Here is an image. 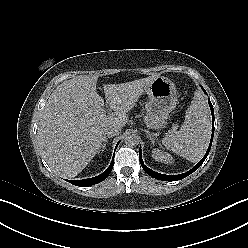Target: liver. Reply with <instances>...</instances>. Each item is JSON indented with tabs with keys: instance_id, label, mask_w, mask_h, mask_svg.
I'll return each instance as SVG.
<instances>
[{
	"instance_id": "liver-1",
	"label": "liver",
	"mask_w": 248,
	"mask_h": 248,
	"mask_svg": "<svg viewBox=\"0 0 248 248\" xmlns=\"http://www.w3.org/2000/svg\"><path fill=\"white\" fill-rule=\"evenodd\" d=\"M159 74L121 84L104 85L106 115L96 91L98 76L79 75L61 83L43 108L37 138L51 169L63 178L77 176L98 153L110 124L123 127L127 113Z\"/></svg>"
}]
</instances>
